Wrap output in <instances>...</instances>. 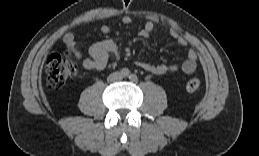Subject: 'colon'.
<instances>
[{"instance_id":"1","label":"colon","mask_w":259,"mask_h":156,"mask_svg":"<svg viewBox=\"0 0 259 156\" xmlns=\"http://www.w3.org/2000/svg\"><path fill=\"white\" fill-rule=\"evenodd\" d=\"M45 74L47 85L52 89H58L77 75V66L67 51L53 53L45 62ZM200 86L201 80L192 78L186 83V90L191 93Z\"/></svg>"}]
</instances>
